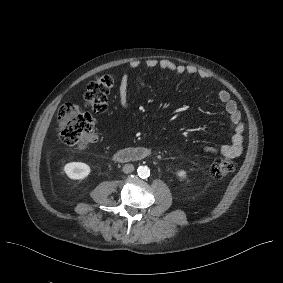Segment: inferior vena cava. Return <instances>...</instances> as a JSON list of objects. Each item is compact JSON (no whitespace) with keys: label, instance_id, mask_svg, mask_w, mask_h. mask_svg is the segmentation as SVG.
Instances as JSON below:
<instances>
[{"label":"inferior vena cava","instance_id":"602c4592","mask_svg":"<svg viewBox=\"0 0 283 283\" xmlns=\"http://www.w3.org/2000/svg\"><path fill=\"white\" fill-rule=\"evenodd\" d=\"M133 171H134V166H133V165H131V164H125V165L123 166V172H124V173L128 174V173H131V172H133Z\"/></svg>","mask_w":283,"mask_h":283}]
</instances>
